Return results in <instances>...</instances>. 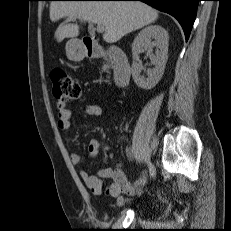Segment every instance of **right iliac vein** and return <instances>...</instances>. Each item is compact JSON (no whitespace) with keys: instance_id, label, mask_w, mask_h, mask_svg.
Listing matches in <instances>:
<instances>
[{"instance_id":"obj_1","label":"right iliac vein","mask_w":231,"mask_h":231,"mask_svg":"<svg viewBox=\"0 0 231 231\" xmlns=\"http://www.w3.org/2000/svg\"><path fill=\"white\" fill-rule=\"evenodd\" d=\"M147 164H148V168H149L150 178H153L156 174V169L150 161H147Z\"/></svg>"}]
</instances>
